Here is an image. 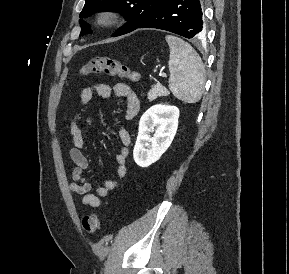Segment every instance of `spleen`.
<instances>
[{
	"mask_svg": "<svg viewBox=\"0 0 289 274\" xmlns=\"http://www.w3.org/2000/svg\"><path fill=\"white\" fill-rule=\"evenodd\" d=\"M169 48V89L175 97L195 103L201 99L205 69L198 53L181 38L173 35L165 37Z\"/></svg>",
	"mask_w": 289,
	"mask_h": 274,
	"instance_id": "3e777b00",
	"label": "spleen"
}]
</instances>
